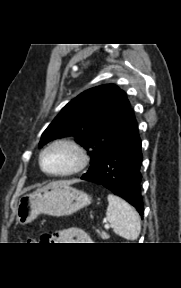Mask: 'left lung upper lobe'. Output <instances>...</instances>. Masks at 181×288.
<instances>
[{
  "instance_id": "5c2ea615",
  "label": "left lung upper lobe",
  "mask_w": 181,
  "mask_h": 288,
  "mask_svg": "<svg viewBox=\"0 0 181 288\" xmlns=\"http://www.w3.org/2000/svg\"><path fill=\"white\" fill-rule=\"evenodd\" d=\"M124 91L114 84L88 89L70 101L43 132L39 148L49 141L74 136L91 158L88 173L96 169L121 136L130 114Z\"/></svg>"
}]
</instances>
